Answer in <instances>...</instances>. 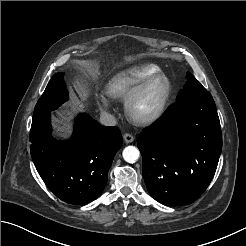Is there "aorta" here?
<instances>
[{
  "label": "aorta",
  "instance_id": "762f6f07",
  "mask_svg": "<svg viewBox=\"0 0 246 246\" xmlns=\"http://www.w3.org/2000/svg\"><path fill=\"white\" fill-rule=\"evenodd\" d=\"M122 156L126 162L135 163L140 156V152L135 146H127L124 148Z\"/></svg>",
  "mask_w": 246,
  "mask_h": 246
}]
</instances>
